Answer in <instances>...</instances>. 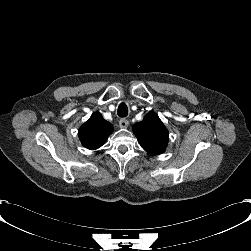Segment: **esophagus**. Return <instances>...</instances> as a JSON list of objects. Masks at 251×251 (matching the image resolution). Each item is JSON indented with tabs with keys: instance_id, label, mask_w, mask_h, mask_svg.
<instances>
[{
	"instance_id": "obj_1",
	"label": "esophagus",
	"mask_w": 251,
	"mask_h": 251,
	"mask_svg": "<svg viewBox=\"0 0 251 251\" xmlns=\"http://www.w3.org/2000/svg\"><path fill=\"white\" fill-rule=\"evenodd\" d=\"M128 125H129V121L126 120V119H121V120L119 121V126H120V128L125 129V128L128 127Z\"/></svg>"
}]
</instances>
